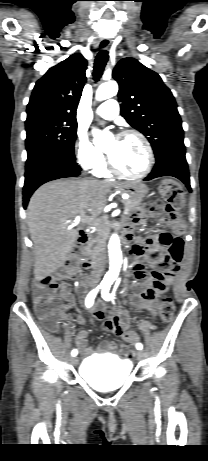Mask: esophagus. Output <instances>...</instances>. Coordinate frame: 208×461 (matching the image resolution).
Segmentation results:
<instances>
[{"mask_svg": "<svg viewBox=\"0 0 208 461\" xmlns=\"http://www.w3.org/2000/svg\"><path fill=\"white\" fill-rule=\"evenodd\" d=\"M110 46V40L108 39H103L100 41V47L103 49H108Z\"/></svg>", "mask_w": 208, "mask_h": 461, "instance_id": "1", "label": "esophagus"}]
</instances>
